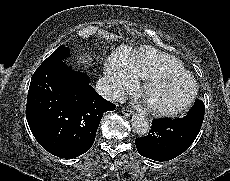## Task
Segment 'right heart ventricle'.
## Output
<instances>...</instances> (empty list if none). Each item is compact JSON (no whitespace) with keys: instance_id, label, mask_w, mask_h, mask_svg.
I'll list each match as a JSON object with an SVG mask.
<instances>
[{"instance_id":"right-heart-ventricle-1","label":"right heart ventricle","mask_w":230,"mask_h":181,"mask_svg":"<svg viewBox=\"0 0 230 181\" xmlns=\"http://www.w3.org/2000/svg\"><path fill=\"white\" fill-rule=\"evenodd\" d=\"M109 62L140 79H146L159 71L183 69V65L176 59L148 46L123 45L111 54Z\"/></svg>"}]
</instances>
